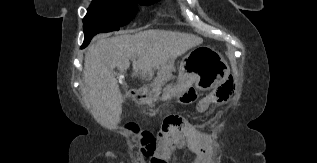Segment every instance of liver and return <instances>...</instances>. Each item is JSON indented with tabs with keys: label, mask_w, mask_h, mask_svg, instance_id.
Returning <instances> with one entry per match:
<instances>
[{
	"label": "liver",
	"mask_w": 317,
	"mask_h": 163,
	"mask_svg": "<svg viewBox=\"0 0 317 163\" xmlns=\"http://www.w3.org/2000/svg\"><path fill=\"white\" fill-rule=\"evenodd\" d=\"M202 43L196 35L160 29L99 38L88 48L83 70L87 106L95 120L108 129L120 122L123 96L114 68L124 73L131 60L133 76L145 77Z\"/></svg>",
	"instance_id": "6515ba94"
}]
</instances>
